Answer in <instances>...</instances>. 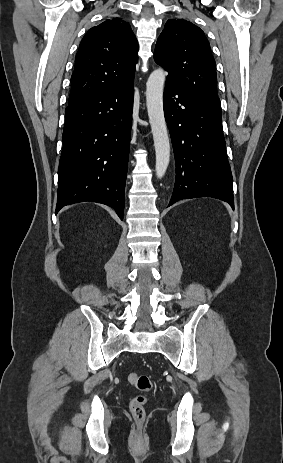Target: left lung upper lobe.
I'll list each match as a JSON object with an SVG mask.
<instances>
[{"instance_id": "5c2ea615", "label": "left lung upper lobe", "mask_w": 283, "mask_h": 463, "mask_svg": "<svg viewBox=\"0 0 283 463\" xmlns=\"http://www.w3.org/2000/svg\"><path fill=\"white\" fill-rule=\"evenodd\" d=\"M154 60L169 73V79L221 109L216 93L215 60L199 27L184 19L168 20L157 40Z\"/></svg>"}]
</instances>
